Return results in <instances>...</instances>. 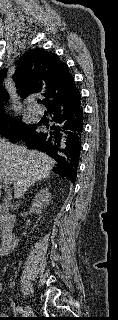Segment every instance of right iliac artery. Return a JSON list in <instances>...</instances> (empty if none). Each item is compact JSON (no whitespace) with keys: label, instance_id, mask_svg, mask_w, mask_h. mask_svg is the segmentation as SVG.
<instances>
[{"label":"right iliac artery","instance_id":"1","mask_svg":"<svg viewBox=\"0 0 118 320\" xmlns=\"http://www.w3.org/2000/svg\"><path fill=\"white\" fill-rule=\"evenodd\" d=\"M16 310H17V312H19V313H21V314H26V313H27V312L24 311V309H23L22 307H20V306H17Z\"/></svg>","mask_w":118,"mask_h":320}]
</instances>
